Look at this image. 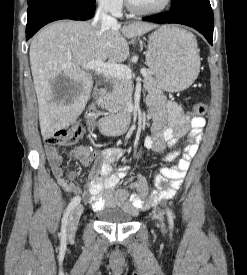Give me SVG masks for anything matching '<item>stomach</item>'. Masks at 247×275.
Returning a JSON list of instances; mask_svg holds the SVG:
<instances>
[{
	"label": "stomach",
	"instance_id": "1",
	"mask_svg": "<svg viewBox=\"0 0 247 275\" xmlns=\"http://www.w3.org/2000/svg\"><path fill=\"white\" fill-rule=\"evenodd\" d=\"M188 34L170 25L157 29L149 36L146 62L159 87L166 92L182 91L198 76L199 52Z\"/></svg>",
	"mask_w": 247,
	"mask_h": 275
}]
</instances>
